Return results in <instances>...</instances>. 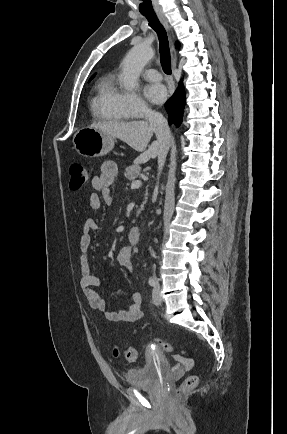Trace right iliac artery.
Returning a JSON list of instances; mask_svg holds the SVG:
<instances>
[{"mask_svg":"<svg viewBox=\"0 0 287 434\" xmlns=\"http://www.w3.org/2000/svg\"><path fill=\"white\" fill-rule=\"evenodd\" d=\"M148 282H149V285L152 287H155L157 284V281L154 277H150Z\"/></svg>","mask_w":287,"mask_h":434,"instance_id":"82829eb1","label":"right iliac artery"}]
</instances>
